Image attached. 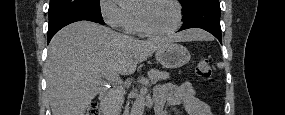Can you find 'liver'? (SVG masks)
Instances as JSON below:
<instances>
[{
  "label": "liver",
  "mask_w": 285,
  "mask_h": 115,
  "mask_svg": "<svg viewBox=\"0 0 285 115\" xmlns=\"http://www.w3.org/2000/svg\"><path fill=\"white\" fill-rule=\"evenodd\" d=\"M207 37L193 29L173 38L138 40L89 21L62 28L50 41L45 64L52 115H84L106 84L103 76L133 74L138 62L168 43Z\"/></svg>",
  "instance_id": "1"
}]
</instances>
